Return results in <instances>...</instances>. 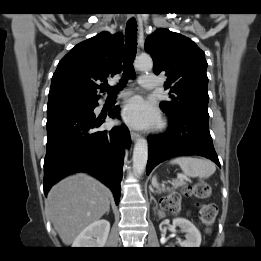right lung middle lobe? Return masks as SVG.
Listing matches in <instances>:
<instances>
[{"mask_svg": "<svg viewBox=\"0 0 261 261\" xmlns=\"http://www.w3.org/2000/svg\"><path fill=\"white\" fill-rule=\"evenodd\" d=\"M95 101H87L73 98H58L48 101L47 114L57 112L64 109H87L91 107Z\"/></svg>", "mask_w": 261, "mask_h": 261, "instance_id": "obj_1", "label": "right lung middle lobe"}]
</instances>
